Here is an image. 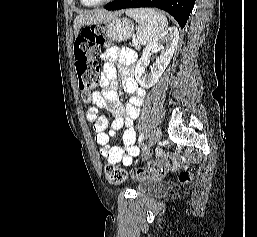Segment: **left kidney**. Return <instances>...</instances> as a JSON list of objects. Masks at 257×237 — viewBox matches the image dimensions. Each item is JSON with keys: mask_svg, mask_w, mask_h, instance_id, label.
<instances>
[{"mask_svg": "<svg viewBox=\"0 0 257 237\" xmlns=\"http://www.w3.org/2000/svg\"><path fill=\"white\" fill-rule=\"evenodd\" d=\"M178 40V29L176 27H171L145 47L142 56L135 67V78L141 87L151 88L157 83L175 52ZM155 51H161V55L151 66V71L145 73V68L150 63L151 53Z\"/></svg>", "mask_w": 257, "mask_h": 237, "instance_id": "left-kidney-1", "label": "left kidney"}]
</instances>
